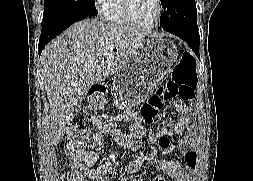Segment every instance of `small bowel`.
<instances>
[{"label": "small bowel", "instance_id": "obj_1", "mask_svg": "<svg viewBox=\"0 0 253 181\" xmlns=\"http://www.w3.org/2000/svg\"><path fill=\"white\" fill-rule=\"evenodd\" d=\"M175 107L181 114L177 121L173 124L170 132L180 134L184 130L187 131L185 138L179 143L178 147L182 153L183 162L177 160L151 159L145 163V166L161 173L167 174L173 181H190L197 166L198 151L195 135V115L187 110L181 100L175 101ZM127 118L133 119L135 125L130 135L124 134L114 120H109L104 124V131L109 133L114 141L124 147L136 148L143 135L142 121L136 113H128ZM165 133H150V140L160 138L161 145L168 147V138L163 136ZM69 166L72 169V175L79 177L80 181H109L115 174L112 162H105L100 166H95L97 154L79 148L66 150ZM142 167V164L136 161L130 162L126 168V173L131 177ZM153 181H168V178H153Z\"/></svg>", "mask_w": 253, "mask_h": 181}]
</instances>
